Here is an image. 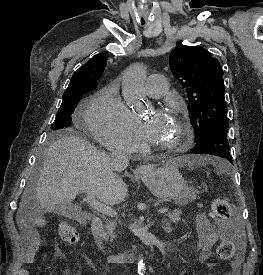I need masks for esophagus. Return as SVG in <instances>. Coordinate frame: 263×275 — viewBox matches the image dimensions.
<instances>
[{"mask_svg":"<svg viewBox=\"0 0 263 275\" xmlns=\"http://www.w3.org/2000/svg\"><path fill=\"white\" fill-rule=\"evenodd\" d=\"M148 169H149V166H147V165H140V166L137 168V172H138V173H144V172H146Z\"/></svg>","mask_w":263,"mask_h":275,"instance_id":"esophagus-1","label":"esophagus"}]
</instances>
